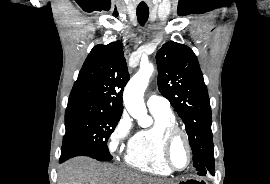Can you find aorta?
<instances>
[{
  "instance_id": "1",
  "label": "aorta",
  "mask_w": 270,
  "mask_h": 184,
  "mask_svg": "<svg viewBox=\"0 0 270 184\" xmlns=\"http://www.w3.org/2000/svg\"><path fill=\"white\" fill-rule=\"evenodd\" d=\"M153 72V65L141 64L139 71L126 85L123 94V101L127 111L142 127H148L152 124L151 117L147 115L143 96Z\"/></svg>"
}]
</instances>
